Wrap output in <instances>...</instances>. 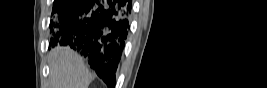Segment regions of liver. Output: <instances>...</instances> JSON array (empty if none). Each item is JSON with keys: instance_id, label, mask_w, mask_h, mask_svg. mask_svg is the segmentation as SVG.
I'll return each mask as SVG.
<instances>
[{"instance_id": "obj_1", "label": "liver", "mask_w": 267, "mask_h": 88, "mask_svg": "<svg viewBox=\"0 0 267 88\" xmlns=\"http://www.w3.org/2000/svg\"><path fill=\"white\" fill-rule=\"evenodd\" d=\"M50 88H88L94 76L70 47L58 46L48 54Z\"/></svg>"}]
</instances>
